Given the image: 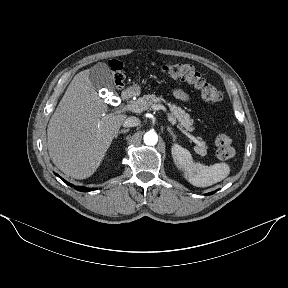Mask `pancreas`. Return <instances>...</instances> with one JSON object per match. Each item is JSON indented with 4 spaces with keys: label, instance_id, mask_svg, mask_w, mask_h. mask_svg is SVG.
<instances>
[{
    "label": "pancreas",
    "instance_id": "pancreas-1",
    "mask_svg": "<svg viewBox=\"0 0 288 288\" xmlns=\"http://www.w3.org/2000/svg\"><path fill=\"white\" fill-rule=\"evenodd\" d=\"M165 102L162 96L157 97L154 94L144 95L143 97L138 98L137 100L133 101V103L137 104L143 111L149 109L153 105L157 103ZM169 109L171 111V116L177 120L184 128L187 130H193L192 124L193 120L191 119L190 115L186 113L181 107L176 106L172 103H167ZM195 151L204 156L206 155V145L204 142H200V145L195 148Z\"/></svg>",
    "mask_w": 288,
    "mask_h": 288
}]
</instances>
